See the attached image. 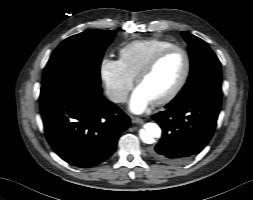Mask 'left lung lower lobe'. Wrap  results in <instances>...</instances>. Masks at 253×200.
<instances>
[{"mask_svg": "<svg viewBox=\"0 0 253 200\" xmlns=\"http://www.w3.org/2000/svg\"><path fill=\"white\" fill-rule=\"evenodd\" d=\"M222 93L203 91L186 101L173 100L152 116L162 128V138L150 150L156 160L180 164L198 154L213 136Z\"/></svg>", "mask_w": 253, "mask_h": 200, "instance_id": "0a47b994", "label": "left lung lower lobe"}]
</instances>
